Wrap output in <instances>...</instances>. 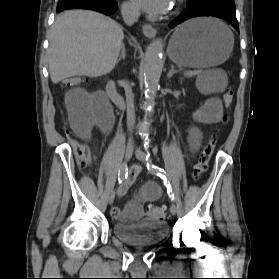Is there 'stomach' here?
Wrapping results in <instances>:
<instances>
[{
	"mask_svg": "<svg viewBox=\"0 0 279 279\" xmlns=\"http://www.w3.org/2000/svg\"><path fill=\"white\" fill-rule=\"evenodd\" d=\"M234 38L218 20L198 18L180 25L169 41V58L188 68H208L225 62Z\"/></svg>",
	"mask_w": 279,
	"mask_h": 279,
	"instance_id": "obj_1",
	"label": "stomach"
}]
</instances>
